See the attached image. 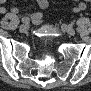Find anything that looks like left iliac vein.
<instances>
[{"label":"left iliac vein","mask_w":91,"mask_h":91,"mask_svg":"<svg viewBox=\"0 0 91 91\" xmlns=\"http://www.w3.org/2000/svg\"><path fill=\"white\" fill-rule=\"evenodd\" d=\"M62 28H63V30L66 31L69 35H71V36L75 35V30H74V29H70V28L68 27V25L63 24V25H62Z\"/></svg>","instance_id":"left-iliac-vein-1"}]
</instances>
